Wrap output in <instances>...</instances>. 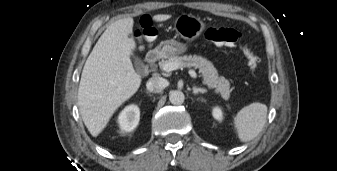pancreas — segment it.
<instances>
[{
  "label": "pancreas",
  "mask_w": 337,
  "mask_h": 171,
  "mask_svg": "<svg viewBox=\"0 0 337 171\" xmlns=\"http://www.w3.org/2000/svg\"><path fill=\"white\" fill-rule=\"evenodd\" d=\"M169 62L178 64L180 69L186 67L198 68L203 77V83L206 84L208 88L215 89V92L219 93L225 100L229 98L231 92L229 81L223 76H219L216 68L207 59L197 55L174 56L168 60H161L159 62L160 68L162 69L163 66Z\"/></svg>",
  "instance_id": "cf45deb5"
}]
</instances>
